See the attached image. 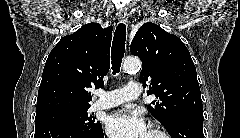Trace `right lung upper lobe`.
Segmentation results:
<instances>
[{
	"mask_svg": "<svg viewBox=\"0 0 240 138\" xmlns=\"http://www.w3.org/2000/svg\"><path fill=\"white\" fill-rule=\"evenodd\" d=\"M112 26L83 25L67 35L50 52L38 91L36 115L65 109L90 107L88 88L103 86L110 68Z\"/></svg>",
	"mask_w": 240,
	"mask_h": 138,
	"instance_id": "1",
	"label": "right lung upper lobe"
}]
</instances>
